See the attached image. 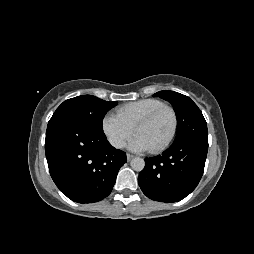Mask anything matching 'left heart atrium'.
Segmentation results:
<instances>
[{
	"instance_id": "39dd6f15",
	"label": "left heart atrium",
	"mask_w": 254,
	"mask_h": 254,
	"mask_svg": "<svg viewBox=\"0 0 254 254\" xmlns=\"http://www.w3.org/2000/svg\"><path fill=\"white\" fill-rule=\"evenodd\" d=\"M129 149L134 152H142L150 150L151 148L147 141L141 135L137 134L129 143Z\"/></svg>"
}]
</instances>
